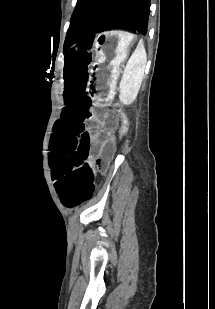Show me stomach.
<instances>
[{
	"label": "stomach",
	"mask_w": 215,
	"mask_h": 309,
	"mask_svg": "<svg viewBox=\"0 0 215 309\" xmlns=\"http://www.w3.org/2000/svg\"><path fill=\"white\" fill-rule=\"evenodd\" d=\"M137 38L131 32L110 30L99 34L94 43L95 57L90 69L88 86L94 99H109L115 91L120 65L128 56ZM142 43L139 42L138 46Z\"/></svg>",
	"instance_id": "0dacf381"
}]
</instances>
